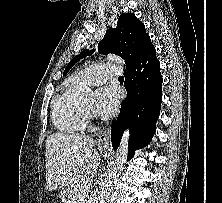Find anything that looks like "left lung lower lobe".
<instances>
[{"label":"left lung lower lobe","instance_id":"left-lung-lower-lobe-1","mask_svg":"<svg viewBox=\"0 0 222 203\" xmlns=\"http://www.w3.org/2000/svg\"><path fill=\"white\" fill-rule=\"evenodd\" d=\"M124 86L128 91L122 102L120 114L111 130L113 149L120 144L124 129L129 126V161L136 149L150 143L162 101V76L160 62L150 37L142 47L135 61L126 68Z\"/></svg>","mask_w":222,"mask_h":203}]
</instances>
